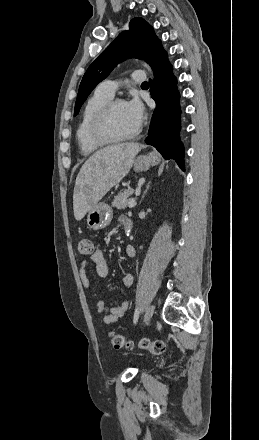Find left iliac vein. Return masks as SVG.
Returning a JSON list of instances; mask_svg holds the SVG:
<instances>
[{
	"mask_svg": "<svg viewBox=\"0 0 259 440\" xmlns=\"http://www.w3.org/2000/svg\"><path fill=\"white\" fill-rule=\"evenodd\" d=\"M153 313H154V306L150 305L145 312V316H144L145 324L149 322L150 318L153 316Z\"/></svg>",
	"mask_w": 259,
	"mask_h": 440,
	"instance_id": "obj_1",
	"label": "left iliac vein"
}]
</instances>
